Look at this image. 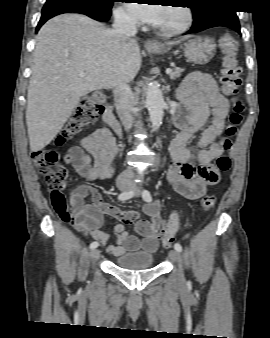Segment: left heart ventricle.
<instances>
[{
    "instance_id": "obj_1",
    "label": "left heart ventricle",
    "mask_w": 270,
    "mask_h": 338,
    "mask_svg": "<svg viewBox=\"0 0 270 338\" xmlns=\"http://www.w3.org/2000/svg\"><path fill=\"white\" fill-rule=\"evenodd\" d=\"M183 21V13L178 7L164 8L159 21L155 24L158 28H173Z\"/></svg>"
}]
</instances>
